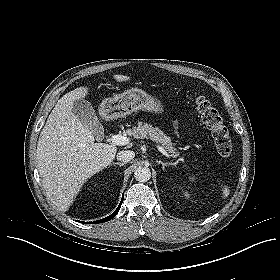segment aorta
Masks as SVG:
<instances>
[{
    "mask_svg": "<svg viewBox=\"0 0 280 280\" xmlns=\"http://www.w3.org/2000/svg\"><path fill=\"white\" fill-rule=\"evenodd\" d=\"M134 177L139 182H147L151 178V171L147 167H138L134 172Z\"/></svg>",
    "mask_w": 280,
    "mask_h": 280,
    "instance_id": "762f6f07",
    "label": "aorta"
}]
</instances>
